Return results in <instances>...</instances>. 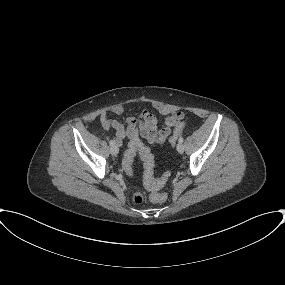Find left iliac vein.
I'll return each mask as SVG.
<instances>
[{"mask_svg":"<svg viewBox=\"0 0 285 285\" xmlns=\"http://www.w3.org/2000/svg\"><path fill=\"white\" fill-rule=\"evenodd\" d=\"M178 153L182 154L184 152V146L182 143H178L176 146Z\"/></svg>","mask_w":285,"mask_h":285,"instance_id":"1","label":"left iliac vein"}]
</instances>
